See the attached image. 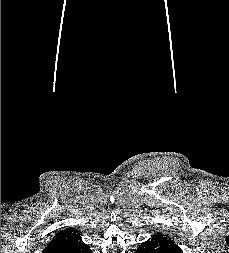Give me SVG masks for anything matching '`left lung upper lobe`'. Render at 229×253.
<instances>
[{
  "instance_id": "obj_1",
  "label": "left lung upper lobe",
  "mask_w": 229,
  "mask_h": 253,
  "mask_svg": "<svg viewBox=\"0 0 229 253\" xmlns=\"http://www.w3.org/2000/svg\"><path fill=\"white\" fill-rule=\"evenodd\" d=\"M154 237H164L162 234H159V233H157V234H155V235H153Z\"/></svg>"
}]
</instances>
